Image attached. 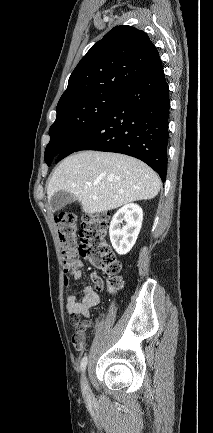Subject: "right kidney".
Returning <instances> with one entry per match:
<instances>
[{
	"label": "right kidney",
	"instance_id": "ca27d5eb",
	"mask_svg": "<svg viewBox=\"0 0 213 433\" xmlns=\"http://www.w3.org/2000/svg\"><path fill=\"white\" fill-rule=\"evenodd\" d=\"M143 220L142 208L137 204H126L113 216L109 235L113 248L119 255L127 254L134 246ZM125 225L121 227V224Z\"/></svg>",
	"mask_w": 213,
	"mask_h": 433
}]
</instances>
